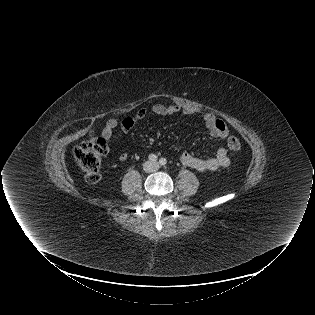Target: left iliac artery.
<instances>
[{"label": "left iliac artery", "instance_id": "44dca946", "mask_svg": "<svg viewBox=\"0 0 315 315\" xmlns=\"http://www.w3.org/2000/svg\"><path fill=\"white\" fill-rule=\"evenodd\" d=\"M160 165L165 166L167 164V160L165 158H161L159 160Z\"/></svg>", "mask_w": 315, "mask_h": 315}]
</instances>
